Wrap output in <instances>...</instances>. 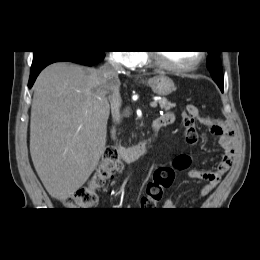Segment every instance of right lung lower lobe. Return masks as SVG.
Here are the masks:
<instances>
[{"mask_svg":"<svg viewBox=\"0 0 260 260\" xmlns=\"http://www.w3.org/2000/svg\"><path fill=\"white\" fill-rule=\"evenodd\" d=\"M104 57V51L42 52L39 55L33 57L28 86L31 87L42 69L51 63L59 61H70L82 65L93 66L102 61Z\"/></svg>","mask_w":260,"mask_h":260,"instance_id":"98d812e1","label":"right lung lower lobe"}]
</instances>
